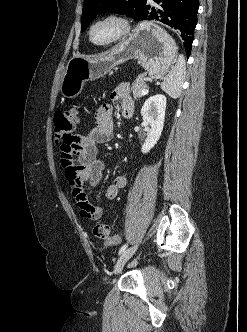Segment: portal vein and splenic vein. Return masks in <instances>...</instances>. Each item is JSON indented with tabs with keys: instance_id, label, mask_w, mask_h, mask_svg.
I'll return each instance as SVG.
<instances>
[{
	"instance_id": "1",
	"label": "portal vein and splenic vein",
	"mask_w": 247,
	"mask_h": 332,
	"mask_svg": "<svg viewBox=\"0 0 247 332\" xmlns=\"http://www.w3.org/2000/svg\"><path fill=\"white\" fill-rule=\"evenodd\" d=\"M147 93H148V89H144V90H142L141 95H146Z\"/></svg>"
}]
</instances>
